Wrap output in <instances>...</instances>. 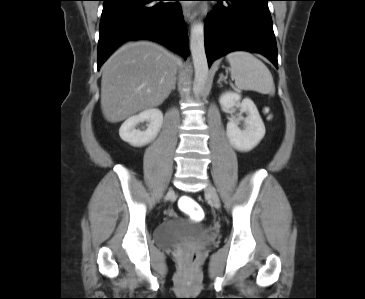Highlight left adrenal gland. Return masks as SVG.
<instances>
[{
	"label": "left adrenal gland",
	"instance_id": "obj_1",
	"mask_svg": "<svg viewBox=\"0 0 365 299\" xmlns=\"http://www.w3.org/2000/svg\"><path fill=\"white\" fill-rule=\"evenodd\" d=\"M222 81H224L225 83H227V81H226V77H224L223 73H221V74L219 75V79H218L217 83H218L219 85H221V84H222Z\"/></svg>",
	"mask_w": 365,
	"mask_h": 299
}]
</instances>
